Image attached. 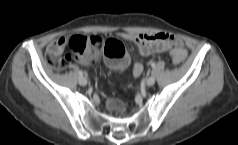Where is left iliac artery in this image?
<instances>
[{"mask_svg":"<svg viewBox=\"0 0 238 145\" xmlns=\"http://www.w3.org/2000/svg\"><path fill=\"white\" fill-rule=\"evenodd\" d=\"M151 66L154 68L155 67V63H152Z\"/></svg>","mask_w":238,"mask_h":145,"instance_id":"obj_1","label":"left iliac artery"}]
</instances>
